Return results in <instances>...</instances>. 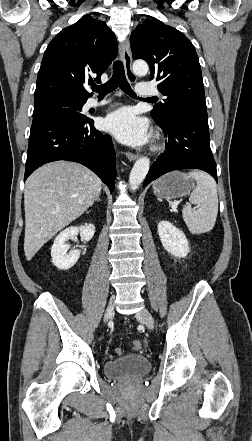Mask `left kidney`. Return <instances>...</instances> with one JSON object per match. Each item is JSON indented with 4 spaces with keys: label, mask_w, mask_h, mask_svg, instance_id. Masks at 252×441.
<instances>
[{
    "label": "left kidney",
    "mask_w": 252,
    "mask_h": 441,
    "mask_svg": "<svg viewBox=\"0 0 252 441\" xmlns=\"http://www.w3.org/2000/svg\"><path fill=\"white\" fill-rule=\"evenodd\" d=\"M158 234L166 251L176 257H185L190 252L185 234L169 221L158 223Z\"/></svg>",
    "instance_id": "1"
}]
</instances>
